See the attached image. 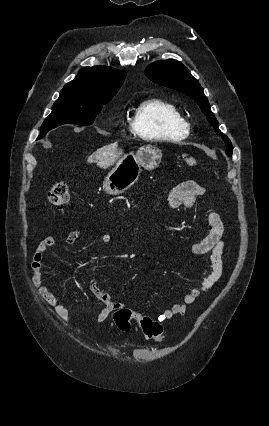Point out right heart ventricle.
Listing matches in <instances>:
<instances>
[{"label":"right heart ventricle","mask_w":269,"mask_h":426,"mask_svg":"<svg viewBox=\"0 0 269 426\" xmlns=\"http://www.w3.org/2000/svg\"><path fill=\"white\" fill-rule=\"evenodd\" d=\"M130 126L134 133L148 141H178L189 133L180 109L161 98H147L134 109Z\"/></svg>","instance_id":"right-heart-ventricle-1"}]
</instances>
